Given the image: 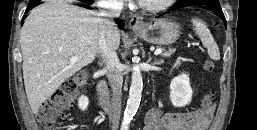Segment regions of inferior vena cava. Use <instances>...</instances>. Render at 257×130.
Masks as SVG:
<instances>
[{
    "mask_svg": "<svg viewBox=\"0 0 257 130\" xmlns=\"http://www.w3.org/2000/svg\"><path fill=\"white\" fill-rule=\"evenodd\" d=\"M123 4L121 0H111V5L107 11L100 15L102 19L99 38V54L102 62L105 63L107 78L112 89V130H118L121 114V96H122V69L115 49V36L117 27L114 18L120 16Z\"/></svg>",
    "mask_w": 257,
    "mask_h": 130,
    "instance_id": "inferior-vena-cava-1",
    "label": "inferior vena cava"
}]
</instances>
